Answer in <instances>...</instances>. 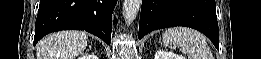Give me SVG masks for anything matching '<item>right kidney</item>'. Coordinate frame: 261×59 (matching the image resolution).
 I'll use <instances>...</instances> for the list:
<instances>
[{
  "instance_id": "obj_1",
  "label": "right kidney",
  "mask_w": 261,
  "mask_h": 59,
  "mask_svg": "<svg viewBox=\"0 0 261 59\" xmlns=\"http://www.w3.org/2000/svg\"><path fill=\"white\" fill-rule=\"evenodd\" d=\"M90 58H92V59H97V57L96 56H82V57H79V59H90Z\"/></svg>"
}]
</instances>
